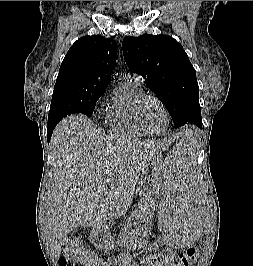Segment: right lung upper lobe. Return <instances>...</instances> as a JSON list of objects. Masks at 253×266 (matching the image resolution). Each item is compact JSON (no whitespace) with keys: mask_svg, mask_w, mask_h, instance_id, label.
I'll use <instances>...</instances> for the list:
<instances>
[{"mask_svg":"<svg viewBox=\"0 0 253 266\" xmlns=\"http://www.w3.org/2000/svg\"><path fill=\"white\" fill-rule=\"evenodd\" d=\"M117 43L100 35L78 39L66 54L52 99L104 92L111 80Z\"/></svg>","mask_w":253,"mask_h":266,"instance_id":"1","label":"right lung upper lobe"}]
</instances>
